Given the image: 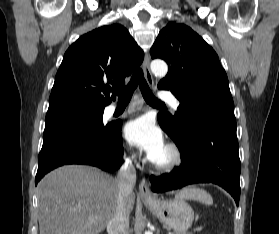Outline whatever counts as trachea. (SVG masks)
I'll return each mask as SVG.
<instances>
[{
	"label": "trachea",
	"mask_w": 279,
	"mask_h": 234,
	"mask_svg": "<svg viewBox=\"0 0 279 234\" xmlns=\"http://www.w3.org/2000/svg\"><path fill=\"white\" fill-rule=\"evenodd\" d=\"M140 87L141 93L145 101L150 105H164L163 102L158 100L151 92L146 80L144 79L142 69H138L132 76L129 84L122 89L114 90L118 95V101L129 102L135 88Z\"/></svg>",
	"instance_id": "1"
}]
</instances>
